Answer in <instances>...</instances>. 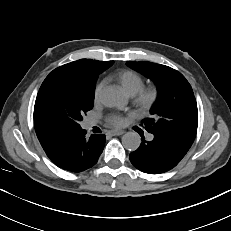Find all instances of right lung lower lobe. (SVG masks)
Returning <instances> with one entry per match:
<instances>
[{
  "instance_id": "obj_1",
  "label": "right lung lower lobe",
  "mask_w": 231,
  "mask_h": 231,
  "mask_svg": "<svg viewBox=\"0 0 231 231\" xmlns=\"http://www.w3.org/2000/svg\"><path fill=\"white\" fill-rule=\"evenodd\" d=\"M81 128L68 132H58L40 140V143L51 161L58 167L81 172L97 163L105 145V135L92 134L84 137Z\"/></svg>"
}]
</instances>
